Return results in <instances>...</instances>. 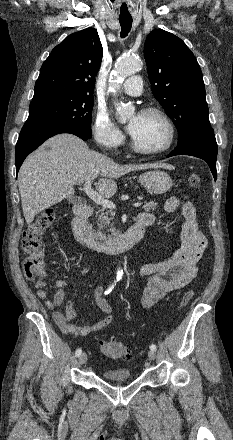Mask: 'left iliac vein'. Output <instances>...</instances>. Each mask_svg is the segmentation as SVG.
Returning a JSON list of instances; mask_svg holds the SVG:
<instances>
[{"label":"left iliac vein","mask_w":233,"mask_h":440,"mask_svg":"<svg viewBox=\"0 0 233 440\" xmlns=\"http://www.w3.org/2000/svg\"><path fill=\"white\" fill-rule=\"evenodd\" d=\"M148 357H149L151 360H154V359L156 358V352H155L154 350H149V351H148Z\"/></svg>","instance_id":"1"}]
</instances>
